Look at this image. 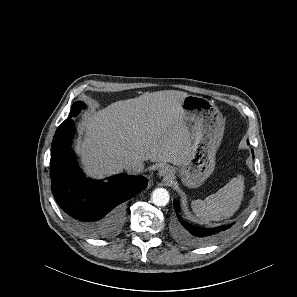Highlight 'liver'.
Returning <instances> with one entry per match:
<instances>
[{"label": "liver", "instance_id": "1", "mask_svg": "<svg viewBox=\"0 0 297 297\" xmlns=\"http://www.w3.org/2000/svg\"><path fill=\"white\" fill-rule=\"evenodd\" d=\"M186 96L175 90L146 93L85 115L75 148L86 173L101 177L121 172L132 157L182 164L196 130L182 116Z\"/></svg>", "mask_w": 297, "mask_h": 297}]
</instances>
